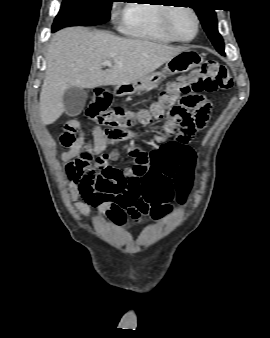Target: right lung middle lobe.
Here are the masks:
<instances>
[{"mask_svg": "<svg viewBox=\"0 0 270 338\" xmlns=\"http://www.w3.org/2000/svg\"><path fill=\"white\" fill-rule=\"evenodd\" d=\"M115 0H63L52 31L67 26H94L110 19L112 2Z\"/></svg>", "mask_w": 270, "mask_h": 338, "instance_id": "dd1d6c3e", "label": "right lung middle lobe"}]
</instances>
